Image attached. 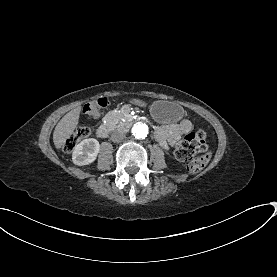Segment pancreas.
Listing matches in <instances>:
<instances>
[{
	"label": "pancreas",
	"instance_id": "cf45deb5",
	"mask_svg": "<svg viewBox=\"0 0 277 277\" xmlns=\"http://www.w3.org/2000/svg\"><path fill=\"white\" fill-rule=\"evenodd\" d=\"M107 118H108V120L111 121V122H116V121H118L119 118H120V113H119V111L116 110V109H111V110H109L108 113H107Z\"/></svg>",
	"mask_w": 277,
	"mask_h": 277
}]
</instances>
